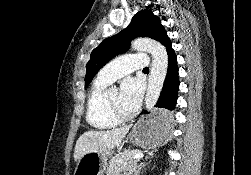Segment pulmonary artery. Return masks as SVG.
<instances>
[{"instance_id": "1", "label": "pulmonary artery", "mask_w": 251, "mask_h": 175, "mask_svg": "<svg viewBox=\"0 0 251 175\" xmlns=\"http://www.w3.org/2000/svg\"><path fill=\"white\" fill-rule=\"evenodd\" d=\"M150 59L147 52H127L126 55H119V58H114V62H107L97 79L106 83H112L121 76H130V71H142V67H146Z\"/></svg>"}]
</instances>
